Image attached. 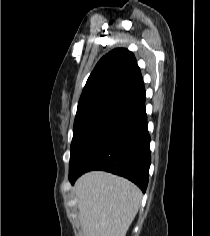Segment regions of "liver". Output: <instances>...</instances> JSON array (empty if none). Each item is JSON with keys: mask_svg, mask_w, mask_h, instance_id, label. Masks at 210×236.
I'll list each match as a JSON object with an SVG mask.
<instances>
[{"mask_svg": "<svg viewBox=\"0 0 210 236\" xmlns=\"http://www.w3.org/2000/svg\"><path fill=\"white\" fill-rule=\"evenodd\" d=\"M84 236H125L142 199L129 180L102 171L88 172L75 183Z\"/></svg>", "mask_w": 210, "mask_h": 236, "instance_id": "liver-1", "label": "liver"}]
</instances>
